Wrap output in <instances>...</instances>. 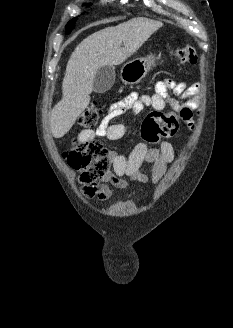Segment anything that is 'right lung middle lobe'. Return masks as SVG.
Instances as JSON below:
<instances>
[{"instance_id": "obj_1", "label": "right lung middle lobe", "mask_w": 233, "mask_h": 328, "mask_svg": "<svg viewBox=\"0 0 233 328\" xmlns=\"http://www.w3.org/2000/svg\"><path fill=\"white\" fill-rule=\"evenodd\" d=\"M77 18H73L70 22H68V24L66 25V32L67 34H69L72 29L74 28L75 26V22H76Z\"/></svg>"}]
</instances>
